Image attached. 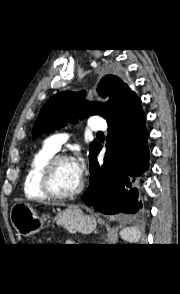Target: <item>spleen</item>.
I'll return each instance as SVG.
<instances>
[{"label": "spleen", "mask_w": 180, "mask_h": 294, "mask_svg": "<svg viewBox=\"0 0 180 294\" xmlns=\"http://www.w3.org/2000/svg\"><path fill=\"white\" fill-rule=\"evenodd\" d=\"M120 236L127 242L136 243L139 241L141 233L136 227H126L120 231Z\"/></svg>", "instance_id": "obj_1"}]
</instances>
